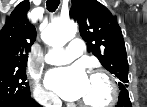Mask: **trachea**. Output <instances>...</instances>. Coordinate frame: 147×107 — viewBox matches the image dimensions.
<instances>
[{"mask_svg":"<svg viewBox=\"0 0 147 107\" xmlns=\"http://www.w3.org/2000/svg\"><path fill=\"white\" fill-rule=\"evenodd\" d=\"M60 4L59 0H47L46 6L47 10L51 13L55 12Z\"/></svg>","mask_w":147,"mask_h":107,"instance_id":"obj_1","label":"trachea"}]
</instances>
